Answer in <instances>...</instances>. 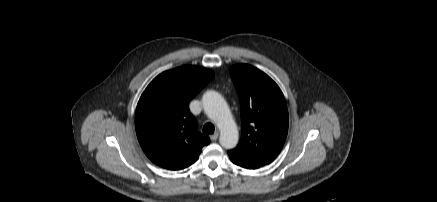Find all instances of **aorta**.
I'll list each match as a JSON object with an SVG mask.
<instances>
[{"instance_id": "1", "label": "aorta", "mask_w": 437, "mask_h": 202, "mask_svg": "<svg viewBox=\"0 0 437 202\" xmlns=\"http://www.w3.org/2000/svg\"><path fill=\"white\" fill-rule=\"evenodd\" d=\"M203 108L220 130V145L233 149L238 143V129L225 99L216 91H207L202 98Z\"/></svg>"}]
</instances>
